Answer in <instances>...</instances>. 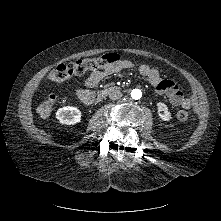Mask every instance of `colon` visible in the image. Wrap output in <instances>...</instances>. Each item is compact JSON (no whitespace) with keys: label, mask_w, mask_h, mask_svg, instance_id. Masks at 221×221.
Instances as JSON below:
<instances>
[{"label":"colon","mask_w":221,"mask_h":221,"mask_svg":"<svg viewBox=\"0 0 221 221\" xmlns=\"http://www.w3.org/2000/svg\"><path fill=\"white\" fill-rule=\"evenodd\" d=\"M120 56L116 53L103 55L96 59L80 60L75 63H61L49 74V79L53 82H61L69 77L80 75L88 71H95L102 68H108L119 62ZM56 96L50 95L39 107V113L42 116H49L54 110ZM180 121H186L189 113L186 109H181L176 114Z\"/></svg>","instance_id":"obj_1"}]
</instances>
